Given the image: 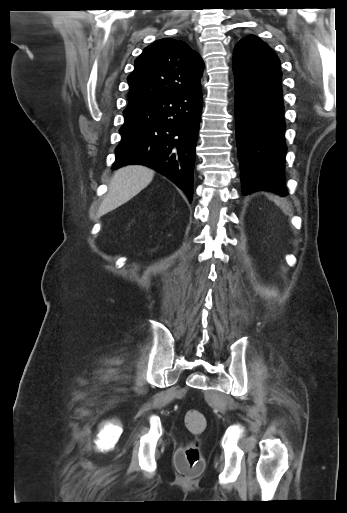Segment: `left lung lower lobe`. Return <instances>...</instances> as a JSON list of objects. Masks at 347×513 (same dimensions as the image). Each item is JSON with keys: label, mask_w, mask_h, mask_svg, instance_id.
<instances>
[{"label": "left lung lower lobe", "mask_w": 347, "mask_h": 513, "mask_svg": "<svg viewBox=\"0 0 347 513\" xmlns=\"http://www.w3.org/2000/svg\"><path fill=\"white\" fill-rule=\"evenodd\" d=\"M235 114L243 194L286 196L284 106L280 69L234 62Z\"/></svg>", "instance_id": "left-lung-lower-lobe-1"}]
</instances>
